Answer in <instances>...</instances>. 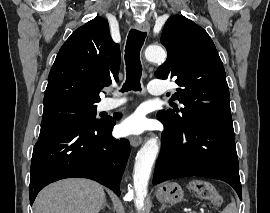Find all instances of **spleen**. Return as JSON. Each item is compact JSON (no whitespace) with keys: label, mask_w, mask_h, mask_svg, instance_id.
Listing matches in <instances>:
<instances>
[{"label":"spleen","mask_w":270,"mask_h":213,"mask_svg":"<svg viewBox=\"0 0 270 213\" xmlns=\"http://www.w3.org/2000/svg\"><path fill=\"white\" fill-rule=\"evenodd\" d=\"M221 213H237L236 203L234 200L226 206Z\"/></svg>","instance_id":"1"}]
</instances>
